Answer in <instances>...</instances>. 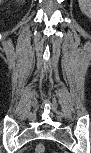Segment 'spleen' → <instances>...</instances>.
<instances>
[{"label": "spleen", "instance_id": "obj_1", "mask_svg": "<svg viewBox=\"0 0 91 153\" xmlns=\"http://www.w3.org/2000/svg\"><path fill=\"white\" fill-rule=\"evenodd\" d=\"M79 7L85 15L89 16L91 14V1L90 0H79Z\"/></svg>", "mask_w": 91, "mask_h": 153}]
</instances>
